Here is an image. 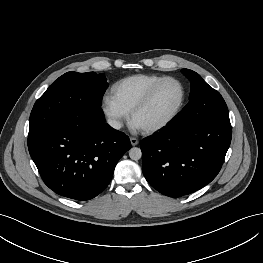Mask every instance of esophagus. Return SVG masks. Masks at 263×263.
Returning a JSON list of instances; mask_svg holds the SVG:
<instances>
[{
  "instance_id": "esophagus-1",
  "label": "esophagus",
  "mask_w": 263,
  "mask_h": 263,
  "mask_svg": "<svg viewBox=\"0 0 263 263\" xmlns=\"http://www.w3.org/2000/svg\"><path fill=\"white\" fill-rule=\"evenodd\" d=\"M130 142L132 146H136L139 143L138 139L135 137H131Z\"/></svg>"
}]
</instances>
